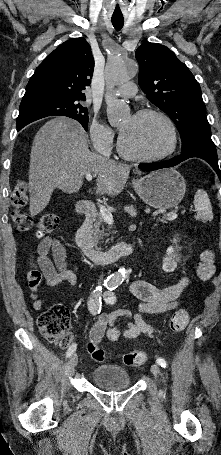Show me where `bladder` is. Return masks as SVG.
<instances>
[{"label":"bladder","instance_id":"obj_1","mask_svg":"<svg viewBox=\"0 0 221 455\" xmlns=\"http://www.w3.org/2000/svg\"><path fill=\"white\" fill-rule=\"evenodd\" d=\"M89 375L94 385L105 390H119L131 386L128 372L118 365L97 366Z\"/></svg>","mask_w":221,"mask_h":455}]
</instances>
